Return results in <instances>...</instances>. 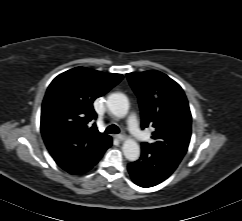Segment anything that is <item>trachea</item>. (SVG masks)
Masks as SVG:
<instances>
[{"mask_svg":"<svg viewBox=\"0 0 242 221\" xmlns=\"http://www.w3.org/2000/svg\"><path fill=\"white\" fill-rule=\"evenodd\" d=\"M120 132L119 128L116 125H110L106 128L105 133L111 134H118Z\"/></svg>","mask_w":242,"mask_h":221,"instance_id":"3493384b","label":"trachea"}]
</instances>
